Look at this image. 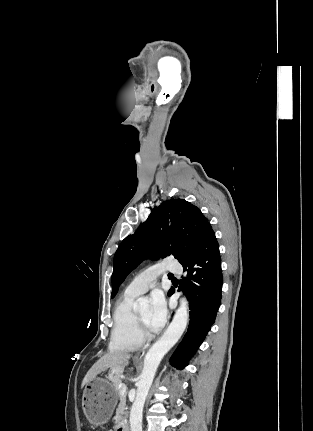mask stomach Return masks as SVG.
<instances>
[{
  "mask_svg": "<svg viewBox=\"0 0 313 431\" xmlns=\"http://www.w3.org/2000/svg\"><path fill=\"white\" fill-rule=\"evenodd\" d=\"M117 401L114 385L104 378L89 381L83 391V411L94 426L105 424L111 417Z\"/></svg>",
  "mask_w": 313,
  "mask_h": 431,
  "instance_id": "0dacf381",
  "label": "stomach"
}]
</instances>
